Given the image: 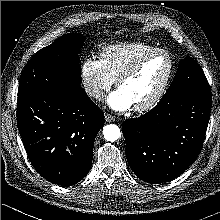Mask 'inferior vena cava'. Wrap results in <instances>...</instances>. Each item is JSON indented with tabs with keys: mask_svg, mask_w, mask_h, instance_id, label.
Returning <instances> with one entry per match:
<instances>
[{
	"mask_svg": "<svg viewBox=\"0 0 220 220\" xmlns=\"http://www.w3.org/2000/svg\"><path fill=\"white\" fill-rule=\"evenodd\" d=\"M85 90L89 96L94 97L96 99L101 100L104 97L103 91L96 87H87Z\"/></svg>",
	"mask_w": 220,
	"mask_h": 220,
	"instance_id": "602c4592",
	"label": "inferior vena cava"
}]
</instances>
